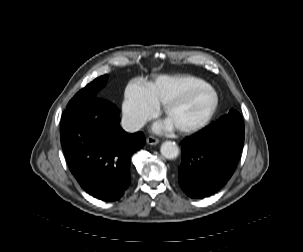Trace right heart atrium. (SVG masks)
<instances>
[{
    "instance_id": "right-heart-atrium-1",
    "label": "right heart atrium",
    "mask_w": 303,
    "mask_h": 252,
    "mask_svg": "<svg viewBox=\"0 0 303 252\" xmlns=\"http://www.w3.org/2000/svg\"><path fill=\"white\" fill-rule=\"evenodd\" d=\"M158 110L148 97L145 88L131 84L124 95L122 119L126 127L137 129L143 126Z\"/></svg>"
}]
</instances>
